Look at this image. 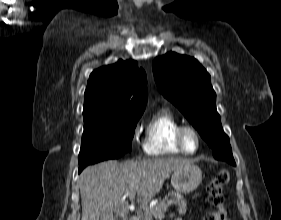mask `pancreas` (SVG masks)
<instances>
[{
	"instance_id": "cf45deb5",
	"label": "pancreas",
	"mask_w": 281,
	"mask_h": 220,
	"mask_svg": "<svg viewBox=\"0 0 281 220\" xmlns=\"http://www.w3.org/2000/svg\"><path fill=\"white\" fill-rule=\"evenodd\" d=\"M168 197H171L174 200V204L178 206V212L180 215L186 213L187 202L184 197L178 192H170L154 207L153 212L147 213L142 220H160V217L156 213L162 211L163 204L167 201Z\"/></svg>"
}]
</instances>
